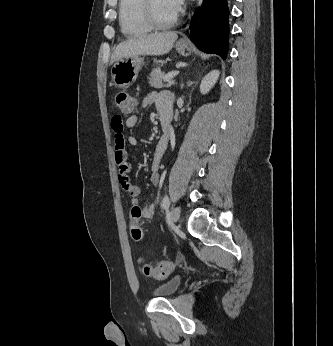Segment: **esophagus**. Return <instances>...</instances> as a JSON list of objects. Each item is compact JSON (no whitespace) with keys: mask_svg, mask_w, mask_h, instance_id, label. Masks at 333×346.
<instances>
[{"mask_svg":"<svg viewBox=\"0 0 333 346\" xmlns=\"http://www.w3.org/2000/svg\"><path fill=\"white\" fill-rule=\"evenodd\" d=\"M181 40H182V41H186V37L182 38Z\"/></svg>","mask_w":333,"mask_h":346,"instance_id":"obj_1","label":"esophagus"}]
</instances>
